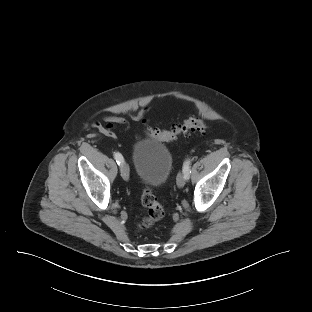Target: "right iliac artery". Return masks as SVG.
<instances>
[{"label":"right iliac artery","mask_w":312,"mask_h":312,"mask_svg":"<svg viewBox=\"0 0 312 312\" xmlns=\"http://www.w3.org/2000/svg\"><path fill=\"white\" fill-rule=\"evenodd\" d=\"M114 158L118 165H122V163L124 162L123 156L119 152L114 153Z\"/></svg>","instance_id":"1"}]
</instances>
